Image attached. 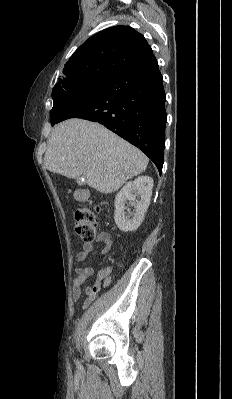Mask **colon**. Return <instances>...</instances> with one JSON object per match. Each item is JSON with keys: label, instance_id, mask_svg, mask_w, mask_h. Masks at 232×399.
Wrapping results in <instances>:
<instances>
[{"label": "colon", "instance_id": "1", "mask_svg": "<svg viewBox=\"0 0 232 399\" xmlns=\"http://www.w3.org/2000/svg\"><path fill=\"white\" fill-rule=\"evenodd\" d=\"M95 213H102V206H95ZM92 219H94V214H92L88 209H85L84 211L77 210V212L74 213V231H77V236L74 237L80 236V239L84 240L93 239L95 228ZM101 282L112 284L113 274L106 272L105 277H101ZM104 288V283H95V285H93V298H98V290H104Z\"/></svg>", "mask_w": 232, "mask_h": 399}]
</instances>
